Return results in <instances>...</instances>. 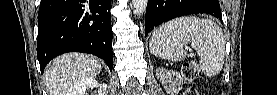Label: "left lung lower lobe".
I'll return each mask as SVG.
<instances>
[{
	"mask_svg": "<svg viewBox=\"0 0 277 95\" xmlns=\"http://www.w3.org/2000/svg\"><path fill=\"white\" fill-rule=\"evenodd\" d=\"M194 13L211 14L221 20L219 2L213 3L203 0H148L145 37L154 27L165 21Z\"/></svg>",
	"mask_w": 277,
	"mask_h": 95,
	"instance_id": "obj_1",
	"label": "left lung lower lobe"
}]
</instances>
